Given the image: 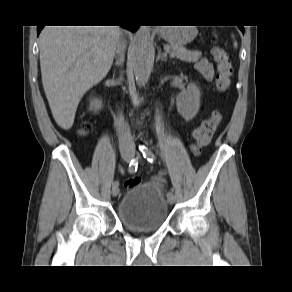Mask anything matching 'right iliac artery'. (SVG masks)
I'll return each instance as SVG.
<instances>
[{"label":"right iliac artery","mask_w":292,"mask_h":292,"mask_svg":"<svg viewBox=\"0 0 292 292\" xmlns=\"http://www.w3.org/2000/svg\"><path fill=\"white\" fill-rule=\"evenodd\" d=\"M137 167H138V159H133L131 160L129 167H128V171L129 173H135L137 171ZM119 183L117 181H115L113 183V187H118Z\"/></svg>","instance_id":"right-iliac-artery-1"}]
</instances>
